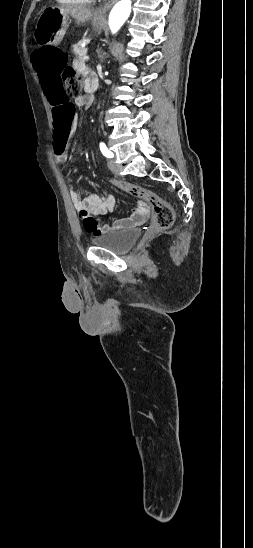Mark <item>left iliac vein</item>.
Segmentation results:
<instances>
[{"mask_svg": "<svg viewBox=\"0 0 253 548\" xmlns=\"http://www.w3.org/2000/svg\"><path fill=\"white\" fill-rule=\"evenodd\" d=\"M108 167L114 174L119 175V168L113 159L108 161Z\"/></svg>", "mask_w": 253, "mask_h": 548, "instance_id": "obj_1", "label": "left iliac vein"}]
</instances>
